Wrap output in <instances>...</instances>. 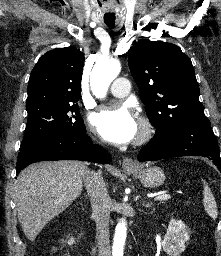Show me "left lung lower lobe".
Segmentation results:
<instances>
[{"mask_svg":"<svg viewBox=\"0 0 221 256\" xmlns=\"http://www.w3.org/2000/svg\"><path fill=\"white\" fill-rule=\"evenodd\" d=\"M178 156H204L213 160L221 171V159L210 122L179 124L169 130L155 132L138 155L139 161H155Z\"/></svg>","mask_w":221,"mask_h":256,"instance_id":"1","label":"left lung lower lobe"}]
</instances>
